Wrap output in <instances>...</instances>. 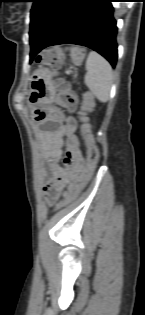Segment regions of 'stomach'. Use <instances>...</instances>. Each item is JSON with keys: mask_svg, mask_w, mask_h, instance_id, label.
I'll list each match as a JSON object with an SVG mask.
<instances>
[{"mask_svg": "<svg viewBox=\"0 0 145 315\" xmlns=\"http://www.w3.org/2000/svg\"><path fill=\"white\" fill-rule=\"evenodd\" d=\"M52 79H56V72H33L32 87L28 91V105H30L33 122H51L52 116H58V109H50L51 91L55 90Z\"/></svg>", "mask_w": 145, "mask_h": 315, "instance_id": "0dacf381", "label": "stomach"}]
</instances>
